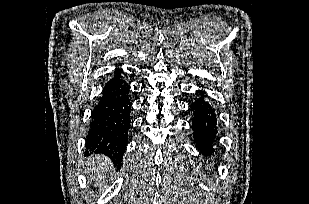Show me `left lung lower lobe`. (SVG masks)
Wrapping results in <instances>:
<instances>
[{"instance_id": "0a47b994", "label": "left lung lower lobe", "mask_w": 309, "mask_h": 204, "mask_svg": "<svg viewBox=\"0 0 309 204\" xmlns=\"http://www.w3.org/2000/svg\"><path fill=\"white\" fill-rule=\"evenodd\" d=\"M190 109L193 114L192 129L197 149L204 155L214 153V145L218 133L215 109L206 100L204 93H200V95L192 101Z\"/></svg>"}]
</instances>
